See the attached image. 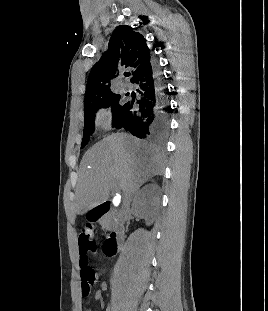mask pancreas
<instances>
[{"label":"pancreas","mask_w":268,"mask_h":311,"mask_svg":"<svg viewBox=\"0 0 268 311\" xmlns=\"http://www.w3.org/2000/svg\"><path fill=\"white\" fill-rule=\"evenodd\" d=\"M101 225L103 230H109L112 225V221L109 217H106L101 221Z\"/></svg>","instance_id":"1"}]
</instances>
